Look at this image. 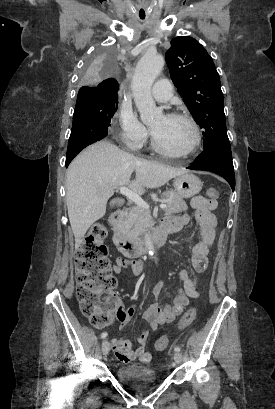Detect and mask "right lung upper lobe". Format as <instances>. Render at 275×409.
<instances>
[{"label":"right lung upper lobe","mask_w":275,"mask_h":409,"mask_svg":"<svg viewBox=\"0 0 275 409\" xmlns=\"http://www.w3.org/2000/svg\"><path fill=\"white\" fill-rule=\"evenodd\" d=\"M118 91V82L114 78L106 79L100 83V85H96L94 89L91 90H83L82 87L79 90V93H86L92 94L98 97L104 96H115L117 97Z\"/></svg>","instance_id":"obj_1"}]
</instances>
